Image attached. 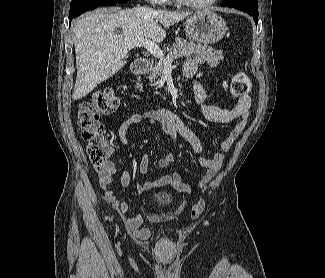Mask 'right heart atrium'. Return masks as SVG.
Here are the masks:
<instances>
[{"instance_id":"obj_1","label":"right heart atrium","mask_w":325,"mask_h":278,"mask_svg":"<svg viewBox=\"0 0 325 278\" xmlns=\"http://www.w3.org/2000/svg\"><path fill=\"white\" fill-rule=\"evenodd\" d=\"M147 1H149L151 3H155V4H161V3L165 2L166 0H147Z\"/></svg>"}]
</instances>
